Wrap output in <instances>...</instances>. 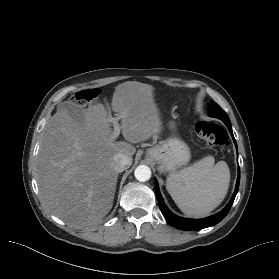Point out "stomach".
Wrapping results in <instances>:
<instances>
[{"mask_svg": "<svg viewBox=\"0 0 279 279\" xmlns=\"http://www.w3.org/2000/svg\"><path fill=\"white\" fill-rule=\"evenodd\" d=\"M159 165L162 172L174 173L190 160V150L185 142L177 137H171L159 142L146 152Z\"/></svg>", "mask_w": 279, "mask_h": 279, "instance_id": "0dacf381", "label": "stomach"}]
</instances>
